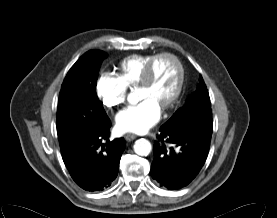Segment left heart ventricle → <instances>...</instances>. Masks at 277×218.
<instances>
[{
    "mask_svg": "<svg viewBox=\"0 0 277 218\" xmlns=\"http://www.w3.org/2000/svg\"><path fill=\"white\" fill-rule=\"evenodd\" d=\"M178 80V69L168 58L160 59L153 71L149 86L139 87V98H151L160 106L174 90Z\"/></svg>",
    "mask_w": 277,
    "mask_h": 218,
    "instance_id": "left-heart-ventricle-1",
    "label": "left heart ventricle"
}]
</instances>
